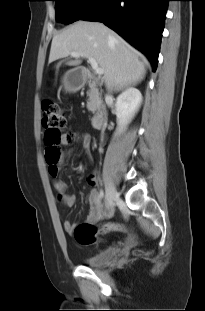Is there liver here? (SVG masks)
I'll return each mask as SVG.
<instances>
[{
  "label": "liver",
  "mask_w": 205,
  "mask_h": 311,
  "mask_svg": "<svg viewBox=\"0 0 205 311\" xmlns=\"http://www.w3.org/2000/svg\"><path fill=\"white\" fill-rule=\"evenodd\" d=\"M78 52L96 60L108 88L121 90L136 85L146 73L140 53L117 33L99 22L77 21L53 37L49 63ZM76 58L69 64L76 66Z\"/></svg>",
  "instance_id": "6515ba94"
}]
</instances>
